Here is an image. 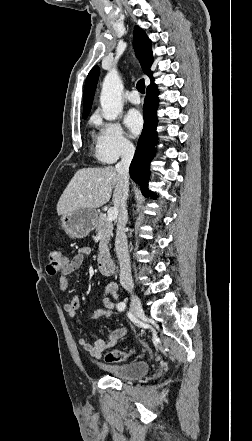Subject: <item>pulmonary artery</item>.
I'll return each instance as SVG.
<instances>
[{"mask_svg": "<svg viewBox=\"0 0 252 441\" xmlns=\"http://www.w3.org/2000/svg\"><path fill=\"white\" fill-rule=\"evenodd\" d=\"M127 99L132 104H139L140 103V97L139 94L136 91H132L127 96Z\"/></svg>", "mask_w": 252, "mask_h": 441, "instance_id": "obj_1", "label": "pulmonary artery"}]
</instances>
